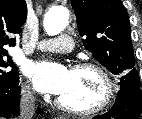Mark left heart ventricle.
Listing matches in <instances>:
<instances>
[{
    "label": "left heart ventricle",
    "instance_id": "obj_1",
    "mask_svg": "<svg viewBox=\"0 0 142 119\" xmlns=\"http://www.w3.org/2000/svg\"><path fill=\"white\" fill-rule=\"evenodd\" d=\"M102 93L103 84L96 72L72 70L68 86L60 98L68 105L86 109L95 106L100 101Z\"/></svg>",
    "mask_w": 142,
    "mask_h": 119
}]
</instances>
